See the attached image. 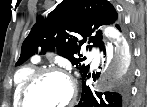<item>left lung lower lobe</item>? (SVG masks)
<instances>
[{"label": "left lung lower lobe", "instance_id": "obj_1", "mask_svg": "<svg viewBox=\"0 0 147 107\" xmlns=\"http://www.w3.org/2000/svg\"><path fill=\"white\" fill-rule=\"evenodd\" d=\"M116 27L120 30L118 26ZM102 51L105 54V47L102 48ZM89 77L90 74L82 77V98L76 107H126L130 94L128 78L119 83L113 91L104 93L95 92L94 94L86 85V80Z\"/></svg>", "mask_w": 147, "mask_h": 107}]
</instances>
